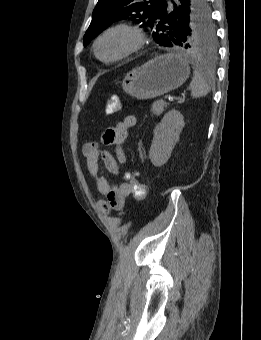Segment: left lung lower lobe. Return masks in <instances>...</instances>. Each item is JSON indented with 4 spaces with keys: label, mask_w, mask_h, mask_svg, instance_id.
<instances>
[{
    "label": "left lung lower lobe",
    "mask_w": 261,
    "mask_h": 340,
    "mask_svg": "<svg viewBox=\"0 0 261 340\" xmlns=\"http://www.w3.org/2000/svg\"><path fill=\"white\" fill-rule=\"evenodd\" d=\"M192 4H193V0H171V3L169 5L166 2L165 9L161 17H164V19L167 22H169V24L171 23V25L175 26L179 22L182 16H187L190 13ZM174 44L175 42L171 41L170 45H174Z\"/></svg>",
    "instance_id": "left-lung-lower-lobe-1"
}]
</instances>
